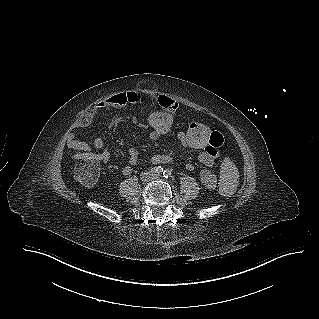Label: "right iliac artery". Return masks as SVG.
<instances>
[{"label": "right iliac artery", "mask_w": 319, "mask_h": 319, "mask_svg": "<svg viewBox=\"0 0 319 319\" xmlns=\"http://www.w3.org/2000/svg\"><path fill=\"white\" fill-rule=\"evenodd\" d=\"M151 172H153V173H162L163 172V168L161 166H157V167L151 168Z\"/></svg>", "instance_id": "82829eb1"}]
</instances>
